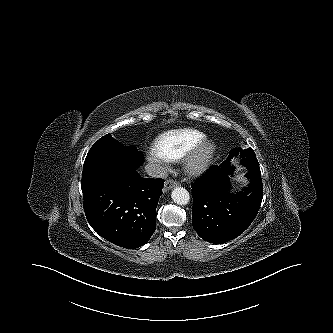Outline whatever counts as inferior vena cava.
<instances>
[{"label": "inferior vena cava", "instance_id": "inferior-vena-cava-1", "mask_svg": "<svg viewBox=\"0 0 333 333\" xmlns=\"http://www.w3.org/2000/svg\"><path fill=\"white\" fill-rule=\"evenodd\" d=\"M145 171L153 178H166L168 176L167 169L160 164L148 163L145 166Z\"/></svg>", "mask_w": 333, "mask_h": 333}]
</instances>
